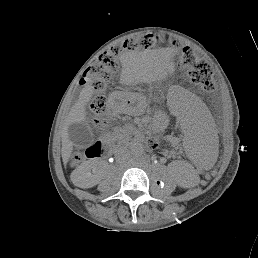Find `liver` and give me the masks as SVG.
Returning a JSON list of instances; mask_svg holds the SVG:
<instances>
[{
  "mask_svg": "<svg viewBox=\"0 0 258 258\" xmlns=\"http://www.w3.org/2000/svg\"><path fill=\"white\" fill-rule=\"evenodd\" d=\"M159 73V69L153 65L145 64L142 67H134L131 66L126 61L123 63V71H122V81L125 83H130L134 76L143 75V76H152L157 75ZM93 96V89L91 87L85 88L81 94L79 101L74 105L70 117L68 126L72 123H81L85 120L86 117V105L91 100ZM68 126L64 130L63 138H62V159L64 163H67L71 153L73 151V143L69 139L68 135ZM71 179L73 181V173L71 174ZM78 187H88L90 185L89 182H81L79 184H75ZM80 185V186H79Z\"/></svg>",
  "mask_w": 258,
  "mask_h": 258,
  "instance_id": "liver-1",
  "label": "liver"
}]
</instances>
